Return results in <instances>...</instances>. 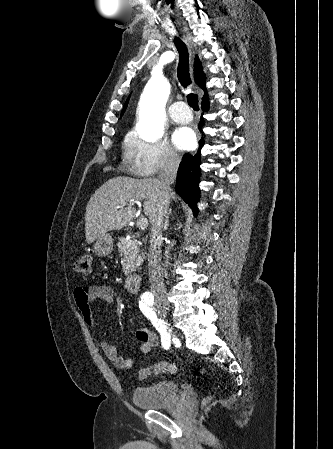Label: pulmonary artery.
<instances>
[{"instance_id":"obj_1","label":"pulmonary artery","mask_w":333,"mask_h":449,"mask_svg":"<svg viewBox=\"0 0 333 449\" xmlns=\"http://www.w3.org/2000/svg\"><path fill=\"white\" fill-rule=\"evenodd\" d=\"M168 112H169V116L171 117V119L174 120L175 122L187 123L192 120V113H191L190 109L182 101L173 103L169 107Z\"/></svg>"}]
</instances>
